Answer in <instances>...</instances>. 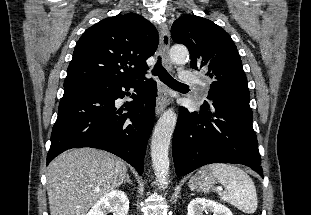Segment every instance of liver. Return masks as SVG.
I'll list each match as a JSON object with an SVG mask.
<instances>
[{
	"label": "liver",
	"instance_id": "1",
	"mask_svg": "<svg viewBox=\"0 0 311 215\" xmlns=\"http://www.w3.org/2000/svg\"><path fill=\"white\" fill-rule=\"evenodd\" d=\"M126 176V164L108 152L77 148L60 154L47 172L50 215H87Z\"/></svg>",
	"mask_w": 311,
	"mask_h": 215
}]
</instances>
